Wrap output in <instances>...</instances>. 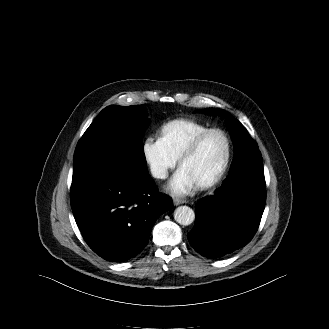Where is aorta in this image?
<instances>
[{"instance_id": "762f6f07", "label": "aorta", "mask_w": 329, "mask_h": 329, "mask_svg": "<svg viewBox=\"0 0 329 329\" xmlns=\"http://www.w3.org/2000/svg\"><path fill=\"white\" fill-rule=\"evenodd\" d=\"M174 219L180 225L187 226L195 220V213L188 206H179L174 211Z\"/></svg>"}]
</instances>
